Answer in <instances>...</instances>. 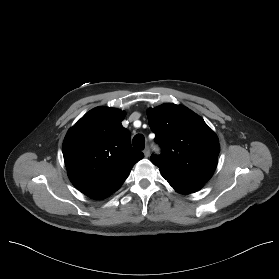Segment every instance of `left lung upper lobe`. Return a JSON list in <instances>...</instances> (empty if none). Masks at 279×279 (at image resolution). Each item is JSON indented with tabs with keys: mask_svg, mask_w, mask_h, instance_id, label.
Masks as SVG:
<instances>
[{
	"mask_svg": "<svg viewBox=\"0 0 279 279\" xmlns=\"http://www.w3.org/2000/svg\"><path fill=\"white\" fill-rule=\"evenodd\" d=\"M149 126L162 148L151 161L160 170L206 182L213 175L220 152L216 134L188 108L166 103L147 112Z\"/></svg>",
	"mask_w": 279,
	"mask_h": 279,
	"instance_id": "1",
	"label": "left lung upper lobe"
}]
</instances>
